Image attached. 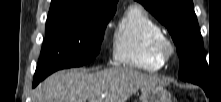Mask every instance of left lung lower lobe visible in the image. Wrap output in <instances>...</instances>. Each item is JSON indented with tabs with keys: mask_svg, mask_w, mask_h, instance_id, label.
<instances>
[{
	"mask_svg": "<svg viewBox=\"0 0 221 102\" xmlns=\"http://www.w3.org/2000/svg\"><path fill=\"white\" fill-rule=\"evenodd\" d=\"M201 87H202L203 89H206V85H202Z\"/></svg>",
	"mask_w": 221,
	"mask_h": 102,
	"instance_id": "obj_1",
	"label": "left lung lower lobe"
}]
</instances>
